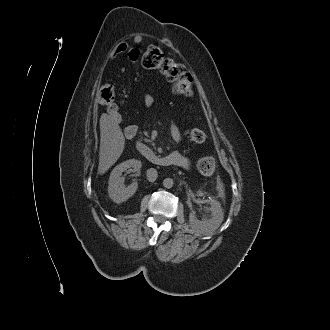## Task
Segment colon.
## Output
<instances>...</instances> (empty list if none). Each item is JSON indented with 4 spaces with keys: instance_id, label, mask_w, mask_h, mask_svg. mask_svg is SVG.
<instances>
[{
    "instance_id": "5ec220e1",
    "label": "colon",
    "mask_w": 330,
    "mask_h": 330,
    "mask_svg": "<svg viewBox=\"0 0 330 330\" xmlns=\"http://www.w3.org/2000/svg\"><path fill=\"white\" fill-rule=\"evenodd\" d=\"M141 64L147 70L158 71L167 81L172 83V92L177 96L189 97L193 94V77L184 65L165 57L163 51L157 46H149L141 57ZM99 101L107 107L109 114L121 121L122 116L115 104V89L110 84L103 85L98 91ZM187 140L200 144L206 139L205 133L198 129L185 132ZM198 171L204 176L215 173L216 162L212 157H203L197 162Z\"/></svg>"
}]
</instances>
